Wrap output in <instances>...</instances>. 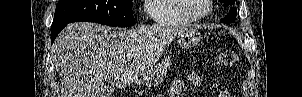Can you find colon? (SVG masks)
I'll return each instance as SVG.
<instances>
[{
  "mask_svg": "<svg viewBox=\"0 0 302 97\" xmlns=\"http://www.w3.org/2000/svg\"><path fill=\"white\" fill-rule=\"evenodd\" d=\"M237 61L238 56L233 51H223L218 54V62L225 67L234 66Z\"/></svg>",
  "mask_w": 302,
  "mask_h": 97,
  "instance_id": "obj_1",
  "label": "colon"
}]
</instances>
